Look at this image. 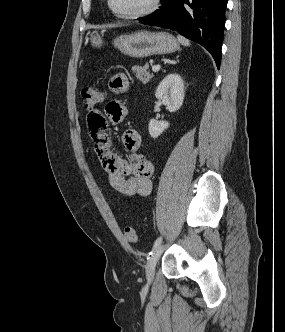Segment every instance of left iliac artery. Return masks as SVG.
<instances>
[{"label":"left iliac artery","instance_id":"obj_1","mask_svg":"<svg viewBox=\"0 0 285 332\" xmlns=\"http://www.w3.org/2000/svg\"><path fill=\"white\" fill-rule=\"evenodd\" d=\"M161 242H162V236L158 237L156 239V241L154 242L153 250H152V252H150L151 255H152V253H154L155 249L161 244Z\"/></svg>","mask_w":285,"mask_h":332}]
</instances>
